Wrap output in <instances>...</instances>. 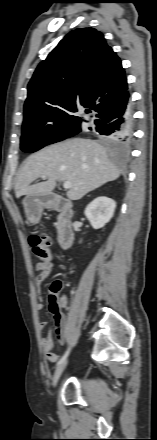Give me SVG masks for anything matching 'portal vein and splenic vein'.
Masks as SVG:
<instances>
[{"label": "portal vein and splenic vein", "instance_id": "1", "mask_svg": "<svg viewBox=\"0 0 157 440\" xmlns=\"http://www.w3.org/2000/svg\"><path fill=\"white\" fill-rule=\"evenodd\" d=\"M42 178L45 179L44 176ZM72 186H73L72 183L69 181H65L63 184L64 189H70Z\"/></svg>", "mask_w": 157, "mask_h": 440}]
</instances>
